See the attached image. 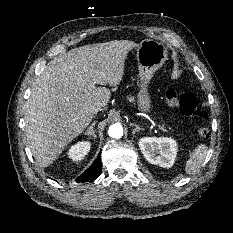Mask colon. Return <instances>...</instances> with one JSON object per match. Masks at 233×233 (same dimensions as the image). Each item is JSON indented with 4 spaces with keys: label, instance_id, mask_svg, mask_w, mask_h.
I'll return each instance as SVG.
<instances>
[{
    "label": "colon",
    "instance_id": "obj_1",
    "mask_svg": "<svg viewBox=\"0 0 233 233\" xmlns=\"http://www.w3.org/2000/svg\"><path fill=\"white\" fill-rule=\"evenodd\" d=\"M165 100L170 107L178 109L183 115L197 119L201 124L197 127V133L201 137L207 138L210 134L206 125L207 113L198 107L196 97L191 93L179 94L174 89H169L165 93Z\"/></svg>",
    "mask_w": 233,
    "mask_h": 233
}]
</instances>
